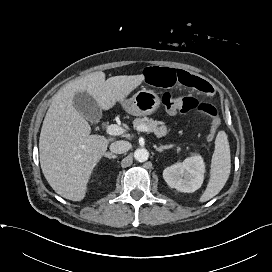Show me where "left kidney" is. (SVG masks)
<instances>
[{
	"label": "left kidney",
	"instance_id": "5707ae66",
	"mask_svg": "<svg viewBox=\"0 0 272 272\" xmlns=\"http://www.w3.org/2000/svg\"><path fill=\"white\" fill-rule=\"evenodd\" d=\"M205 164L200 155L186 158L182 163L173 164L163 171L166 183L180 192L192 193L203 183Z\"/></svg>",
	"mask_w": 272,
	"mask_h": 272
}]
</instances>
